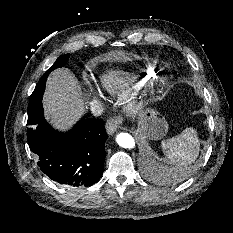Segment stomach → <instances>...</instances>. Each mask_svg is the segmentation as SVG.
Here are the masks:
<instances>
[{"label":"stomach","mask_w":233,"mask_h":233,"mask_svg":"<svg viewBox=\"0 0 233 233\" xmlns=\"http://www.w3.org/2000/svg\"><path fill=\"white\" fill-rule=\"evenodd\" d=\"M168 131L166 119L153 109H146L140 115L138 123L139 134L149 140L161 139Z\"/></svg>","instance_id":"0dacf381"}]
</instances>
